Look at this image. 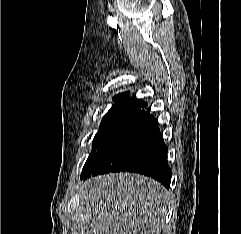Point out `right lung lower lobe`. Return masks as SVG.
Segmentation results:
<instances>
[{
    "mask_svg": "<svg viewBox=\"0 0 241 234\" xmlns=\"http://www.w3.org/2000/svg\"><path fill=\"white\" fill-rule=\"evenodd\" d=\"M142 103L98 147L81 173V179L108 172L144 174L170 187L168 148L157 122Z\"/></svg>",
    "mask_w": 241,
    "mask_h": 234,
    "instance_id": "right-lung-lower-lobe-1",
    "label": "right lung lower lobe"
}]
</instances>
